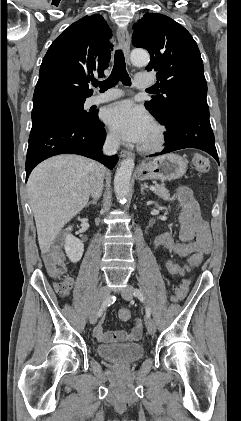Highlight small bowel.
I'll return each mask as SVG.
<instances>
[{"label":"small bowel","instance_id":"c3829d8e","mask_svg":"<svg viewBox=\"0 0 241 421\" xmlns=\"http://www.w3.org/2000/svg\"><path fill=\"white\" fill-rule=\"evenodd\" d=\"M178 204L180 208V243H175L168 233L160 234L155 240L156 247H164L181 258H190L195 254H207L211 248V234L206 221L202 218L198 203L192 191L187 187L177 189ZM72 280L68 279L62 287L56 286L58 293L67 297L72 288ZM173 301H177L175 296ZM103 320L94 328V335L100 342H135L142 334V320L137 318L130 331H106L103 329Z\"/></svg>","mask_w":241,"mask_h":421}]
</instances>
